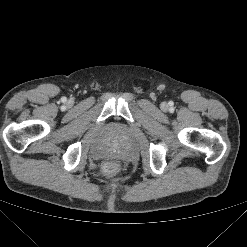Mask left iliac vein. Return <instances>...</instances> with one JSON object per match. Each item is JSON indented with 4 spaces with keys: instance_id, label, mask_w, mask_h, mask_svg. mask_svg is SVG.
I'll use <instances>...</instances> for the list:
<instances>
[{
    "instance_id": "left-iliac-vein-1",
    "label": "left iliac vein",
    "mask_w": 247,
    "mask_h": 247,
    "mask_svg": "<svg viewBox=\"0 0 247 247\" xmlns=\"http://www.w3.org/2000/svg\"><path fill=\"white\" fill-rule=\"evenodd\" d=\"M162 108H163V109H166V108H167V104L164 103V104L162 105Z\"/></svg>"
}]
</instances>
